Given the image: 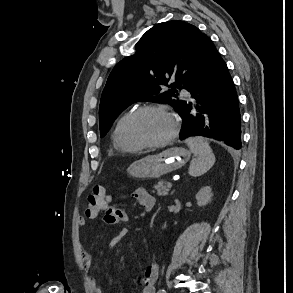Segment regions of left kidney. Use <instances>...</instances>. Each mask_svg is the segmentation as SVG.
Wrapping results in <instances>:
<instances>
[{
    "label": "left kidney",
    "instance_id": "1",
    "mask_svg": "<svg viewBox=\"0 0 293 293\" xmlns=\"http://www.w3.org/2000/svg\"><path fill=\"white\" fill-rule=\"evenodd\" d=\"M212 196L213 193L210 186H205L201 188L195 196L197 200V205L199 207L206 206L211 201Z\"/></svg>",
    "mask_w": 293,
    "mask_h": 293
}]
</instances>
